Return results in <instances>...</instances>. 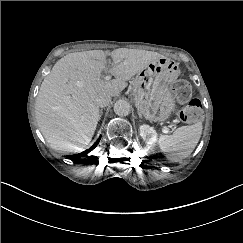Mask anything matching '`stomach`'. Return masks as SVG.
I'll list each match as a JSON object with an SVG mask.
<instances>
[{"instance_id": "obj_1", "label": "stomach", "mask_w": 243, "mask_h": 243, "mask_svg": "<svg viewBox=\"0 0 243 243\" xmlns=\"http://www.w3.org/2000/svg\"><path fill=\"white\" fill-rule=\"evenodd\" d=\"M178 65L160 57L138 72L132 81L138 111L150 121L164 122L175 109L169 85L178 77Z\"/></svg>"}]
</instances>
